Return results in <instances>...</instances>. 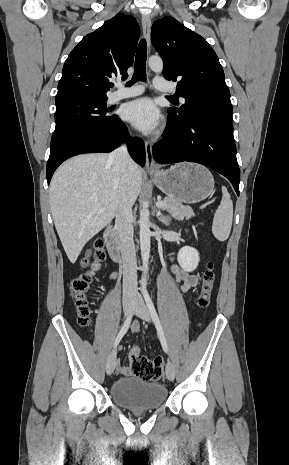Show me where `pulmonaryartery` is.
Listing matches in <instances>:
<instances>
[{"label": "pulmonary artery", "mask_w": 289, "mask_h": 465, "mask_svg": "<svg viewBox=\"0 0 289 465\" xmlns=\"http://www.w3.org/2000/svg\"><path fill=\"white\" fill-rule=\"evenodd\" d=\"M153 86L158 91L163 92H172L174 88L163 78L160 76H156L154 78ZM144 91V87L142 85H133L131 87H124L120 84L117 85V90L110 94L109 102L115 103L119 100L137 96L142 94ZM184 101L183 98H181Z\"/></svg>", "instance_id": "1"}]
</instances>
